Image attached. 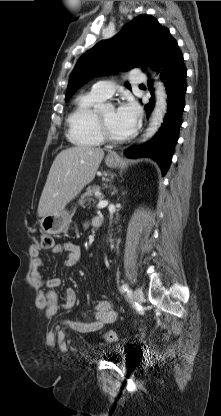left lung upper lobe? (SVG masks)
<instances>
[{
  "mask_svg": "<svg viewBox=\"0 0 221 416\" xmlns=\"http://www.w3.org/2000/svg\"><path fill=\"white\" fill-rule=\"evenodd\" d=\"M167 31L156 18L140 15L112 39L97 43L79 58L71 73L65 100L96 75L114 71L119 66L135 67L133 57L138 56L149 63ZM127 87L130 89L129 84Z\"/></svg>",
  "mask_w": 221,
  "mask_h": 416,
  "instance_id": "obj_1",
  "label": "left lung upper lobe"
}]
</instances>
